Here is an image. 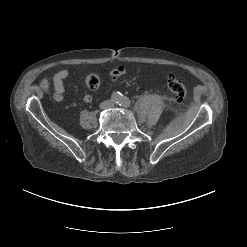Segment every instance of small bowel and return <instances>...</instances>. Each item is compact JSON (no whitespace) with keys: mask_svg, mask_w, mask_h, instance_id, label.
<instances>
[{"mask_svg":"<svg viewBox=\"0 0 247 247\" xmlns=\"http://www.w3.org/2000/svg\"><path fill=\"white\" fill-rule=\"evenodd\" d=\"M125 73L123 67L115 68L111 71V77L117 79ZM70 77V73L67 70H60L56 72L53 76V86H54V99L58 102L64 99L65 94V81ZM85 102L92 101V95L90 93H85L83 96Z\"/></svg>","mask_w":247,"mask_h":247,"instance_id":"small-bowel-1","label":"small bowel"}]
</instances>
